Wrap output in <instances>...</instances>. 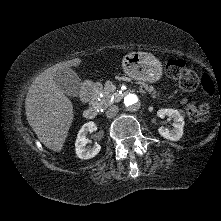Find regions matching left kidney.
<instances>
[{
  "mask_svg": "<svg viewBox=\"0 0 221 221\" xmlns=\"http://www.w3.org/2000/svg\"><path fill=\"white\" fill-rule=\"evenodd\" d=\"M157 115L159 117L169 116L173 119V129L169 130L168 128L160 127L158 130L159 134L171 141L180 140L184 132V118L182 114L175 109H160Z\"/></svg>",
  "mask_w": 221,
  "mask_h": 221,
  "instance_id": "obj_1",
  "label": "left kidney"
}]
</instances>
